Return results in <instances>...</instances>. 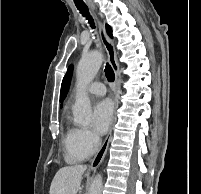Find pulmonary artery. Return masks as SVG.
<instances>
[{
    "mask_svg": "<svg viewBox=\"0 0 201 194\" xmlns=\"http://www.w3.org/2000/svg\"><path fill=\"white\" fill-rule=\"evenodd\" d=\"M87 92L94 96H104L106 94V87L101 82H93L88 86Z\"/></svg>",
    "mask_w": 201,
    "mask_h": 194,
    "instance_id": "1",
    "label": "pulmonary artery"
}]
</instances>
